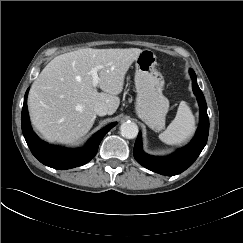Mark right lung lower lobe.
<instances>
[{
	"instance_id": "98d812e1",
	"label": "right lung lower lobe",
	"mask_w": 243,
	"mask_h": 243,
	"mask_svg": "<svg viewBox=\"0 0 243 243\" xmlns=\"http://www.w3.org/2000/svg\"><path fill=\"white\" fill-rule=\"evenodd\" d=\"M27 93L28 90L25 94V101L21 114L23 135L32 154L41 163L54 169L65 170L88 163L96 155L102 138L112 127L117 124V122H113L99 130L91 139H89L84 147L79 149L69 150L59 146L47 144L38 138L31 128L26 103L28 95Z\"/></svg>"
}]
</instances>
